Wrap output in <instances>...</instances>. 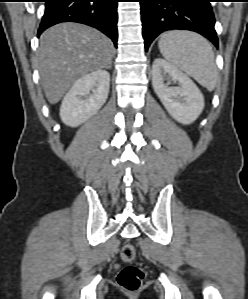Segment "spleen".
<instances>
[{
    "label": "spleen",
    "instance_id": "obj_1",
    "mask_svg": "<svg viewBox=\"0 0 248 299\" xmlns=\"http://www.w3.org/2000/svg\"><path fill=\"white\" fill-rule=\"evenodd\" d=\"M158 46L170 64L209 91L214 90L218 73L213 49L207 39L194 32L174 30L165 32Z\"/></svg>",
    "mask_w": 248,
    "mask_h": 299
}]
</instances>
